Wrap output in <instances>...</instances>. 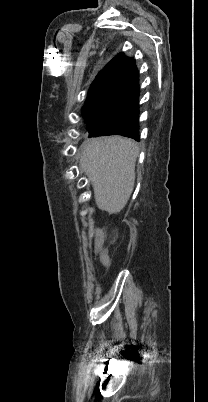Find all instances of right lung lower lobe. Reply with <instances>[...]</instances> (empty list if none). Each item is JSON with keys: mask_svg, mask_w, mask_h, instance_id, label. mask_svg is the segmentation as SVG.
Here are the masks:
<instances>
[{"mask_svg": "<svg viewBox=\"0 0 208 402\" xmlns=\"http://www.w3.org/2000/svg\"><path fill=\"white\" fill-rule=\"evenodd\" d=\"M135 60L110 84L121 94L123 102L116 121L106 118L88 120L89 137L122 135L139 141V87Z\"/></svg>", "mask_w": 208, "mask_h": 402, "instance_id": "1", "label": "right lung lower lobe"}]
</instances>
